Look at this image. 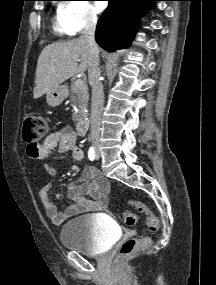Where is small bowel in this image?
Returning a JSON list of instances; mask_svg holds the SVG:
<instances>
[{"instance_id": "c3829d8e", "label": "small bowel", "mask_w": 216, "mask_h": 285, "mask_svg": "<svg viewBox=\"0 0 216 285\" xmlns=\"http://www.w3.org/2000/svg\"><path fill=\"white\" fill-rule=\"evenodd\" d=\"M78 133L72 127H64L50 133L41 145L40 153L36 158L46 159L50 153L57 149L60 153H69L74 159H84V152L77 145ZM45 171L48 174L54 172V167L47 163ZM53 185H45L39 192L40 200L44 206L47 216L51 221L60 225L70 217L105 209L108 205L109 184L100 175L96 168L87 166L80 178L69 184L68 196L72 200L64 211H59L51 198Z\"/></svg>"}]
</instances>
